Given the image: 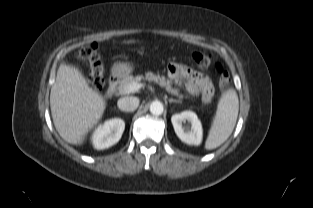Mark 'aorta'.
I'll use <instances>...</instances> for the list:
<instances>
[{
    "instance_id": "aorta-1",
    "label": "aorta",
    "mask_w": 313,
    "mask_h": 208,
    "mask_svg": "<svg viewBox=\"0 0 313 208\" xmlns=\"http://www.w3.org/2000/svg\"><path fill=\"white\" fill-rule=\"evenodd\" d=\"M164 107L160 101H154L150 105V112L153 115H161L163 113Z\"/></svg>"
}]
</instances>
